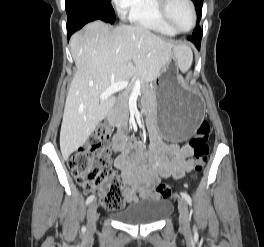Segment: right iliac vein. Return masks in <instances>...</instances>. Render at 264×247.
I'll return each instance as SVG.
<instances>
[{"instance_id": "63e3f726", "label": "right iliac vein", "mask_w": 264, "mask_h": 247, "mask_svg": "<svg viewBox=\"0 0 264 247\" xmlns=\"http://www.w3.org/2000/svg\"><path fill=\"white\" fill-rule=\"evenodd\" d=\"M97 220V204L92 202L87 211L88 231L92 232L95 230Z\"/></svg>"}]
</instances>
